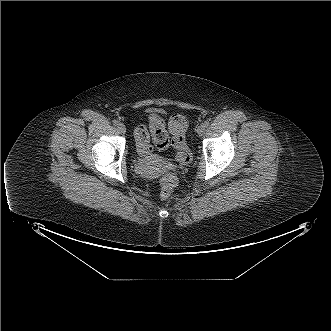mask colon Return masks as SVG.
Instances as JSON below:
<instances>
[{
  "label": "colon",
  "mask_w": 331,
  "mask_h": 331,
  "mask_svg": "<svg viewBox=\"0 0 331 331\" xmlns=\"http://www.w3.org/2000/svg\"><path fill=\"white\" fill-rule=\"evenodd\" d=\"M150 126H152L153 142L159 149H166L170 145L177 150V158L187 164L191 160V154L185 144V134L188 128V120L182 114H174L168 122V129H165L164 124L160 122V118L152 116L150 118ZM138 133L141 138V149L146 150L149 147V140L143 128H139ZM161 197L167 198L173 192L176 186V179L171 174H165L160 179Z\"/></svg>",
  "instance_id": "colon-1"
}]
</instances>
